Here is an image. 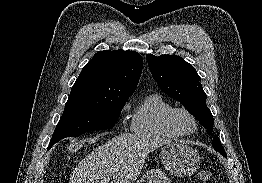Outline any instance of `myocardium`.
I'll use <instances>...</instances> for the list:
<instances>
[{"instance_id":"myocardium-1","label":"myocardium","mask_w":262,"mask_h":183,"mask_svg":"<svg viewBox=\"0 0 262 183\" xmlns=\"http://www.w3.org/2000/svg\"><path fill=\"white\" fill-rule=\"evenodd\" d=\"M181 114H185L187 115L189 118H191V120L193 121L194 123V129L190 132H187V131H184L181 126L179 125L178 123V116L181 115ZM168 123L170 125V127L175 131L177 132L178 134H180L181 136H190V135H193L197 129H198V120L196 118V116L191 112L189 111L188 109L186 108H174L169 116H168Z\"/></svg>"}]
</instances>
